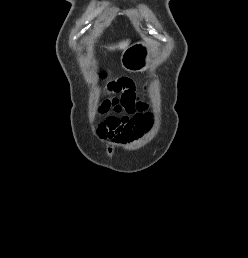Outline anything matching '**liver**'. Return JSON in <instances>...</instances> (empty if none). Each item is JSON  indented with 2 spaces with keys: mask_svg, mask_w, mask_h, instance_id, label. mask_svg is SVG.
Masks as SVG:
<instances>
[{
  "mask_svg": "<svg viewBox=\"0 0 248 258\" xmlns=\"http://www.w3.org/2000/svg\"><path fill=\"white\" fill-rule=\"evenodd\" d=\"M128 44H129L128 41L121 42V43L118 45V48L123 49V50H126V48L128 47ZM111 49H114V48L111 47Z\"/></svg>",
  "mask_w": 248,
  "mask_h": 258,
  "instance_id": "obj_1",
  "label": "liver"
}]
</instances>
